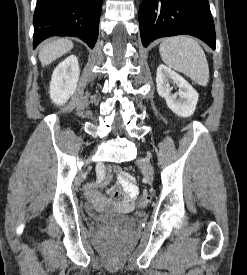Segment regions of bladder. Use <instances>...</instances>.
Masks as SVG:
<instances>
[{"label":"bladder","mask_w":247,"mask_h":275,"mask_svg":"<svg viewBox=\"0 0 247 275\" xmlns=\"http://www.w3.org/2000/svg\"><path fill=\"white\" fill-rule=\"evenodd\" d=\"M95 220L103 225H125L132 221V217L115 213H97Z\"/></svg>","instance_id":"1"}]
</instances>
